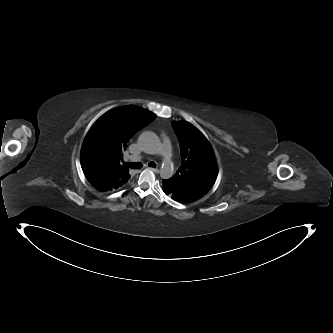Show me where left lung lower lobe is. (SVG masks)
<instances>
[{
  "label": "left lung lower lobe",
  "mask_w": 333,
  "mask_h": 333,
  "mask_svg": "<svg viewBox=\"0 0 333 333\" xmlns=\"http://www.w3.org/2000/svg\"><path fill=\"white\" fill-rule=\"evenodd\" d=\"M163 192L170 196L173 200L178 201L180 203H189L188 201L182 199L180 196H178L176 193H169L171 188H170V183L169 180H163V187H162Z\"/></svg>",
  "instance_id": "1"
}]
</instances>
